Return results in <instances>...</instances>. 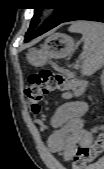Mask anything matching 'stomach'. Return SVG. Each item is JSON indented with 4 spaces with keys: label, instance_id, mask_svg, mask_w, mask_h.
Segmentation results:
<instances>
[{
    "label": "stomach",
    "instance_id": "stomach-1",
    "mask_svg": "<svg viewBox=\"0 0 104 169\" xmlns=\"http://www.w3.org/2000/svg\"><path fill=\"white\" fill-rule=\"evenodd\" d=\"M74 39L66 34L54 33L49 36L38 49H31L27 53V60L33 66H43L52 58H64L68 56L74 48Z\"/></svg>",
    "mask_w": 104,
    "mask_h": 169
}]
</instances>
